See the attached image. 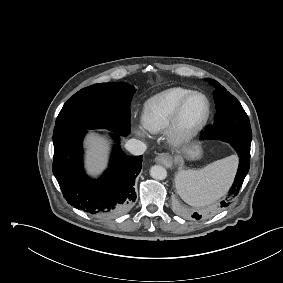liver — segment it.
I'll return each mask as SVG.
<instances>
[{"mask_svg":"<svg viewBox=\"0 0 283 283\" xmlns=\"http://www.w3.org/2000/svg\"><path fill=\"white\" fill-rule=\"evenodd\" d=\"M86 169L89 174L97 175L106 166L109 143L107 139L95 134H89L85 140Z\"/></svg>","mask_w":283,"mask_h":283,"instance_id":"obj_1","label":"liver"}]
</instances>
